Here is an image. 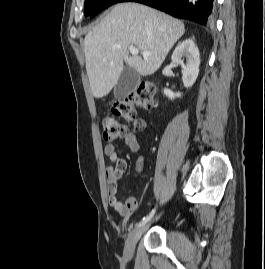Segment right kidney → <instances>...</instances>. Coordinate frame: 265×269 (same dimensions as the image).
<instances>
[{
	"mask_svg": "<svg viewBox=\"0 0 265 269\" xmlns=\"http://www.w3.org/2000/svg\"><path fill=\"white\" fill-rule=\"evenodd\" d=\"M183 57L186 58V63L182 60ZM172 62L182 67L184 86L191 87L198 77L200 65L199 50L192 39H186L179 43L172 54ZM164 94L171 100L181 97V93H174L167 88L164 89Z\"/></svg>",
	"mask_w": 265,
	"mask_h": 269,
	"instance_id": "obj_1",
	"label": "right kidney"
}]
</instances>
